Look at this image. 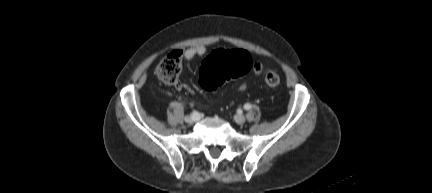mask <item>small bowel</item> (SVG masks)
Instances as JSON below:
<instances>
[{"mask_svg":"<svg viewBox=\"0 0 432 193\" xmlns=\"http://www.w3.org/2000/svg\"><path fill=\"white\" fill-rule=\"evenodd\" d=\"M206 53V47L204 45L194 46L184 51L183 56L185 60L191 61L195 58L201 57ZM252 71L256 75H260L263 71V67L259 62H254ZM182 85L180 83L176 84V88L180 89ZM247 88L246 83H242L239 86V91H244Z\"/></svg>","mask_w":432,"mask_h":193,"instance_id":"small-bowel-1","label":"small bowel"}]
</instances>
